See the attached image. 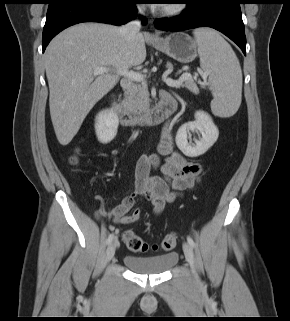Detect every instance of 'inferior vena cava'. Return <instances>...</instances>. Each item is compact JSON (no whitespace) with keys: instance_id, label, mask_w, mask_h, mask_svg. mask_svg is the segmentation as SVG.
<instances>
[{"instance_id":"602c4592","label":"inferior vena cava","mask_w":290,"mask_h":321,"mask_svg":"<svg viewBox=\"0 0 290 321\" xmlns=\"http://www.w3.org/2000/svg\"><path fill=\"white\" fill-rule=\"evenodd\" d=\"M138 13L143 14V9L141 7H138ZM140 28V20L136 19L123 25L120 28V33L125 36L126 39L131 40L136 36L137 33H139Z\"/></svg>"}]
</instances>
